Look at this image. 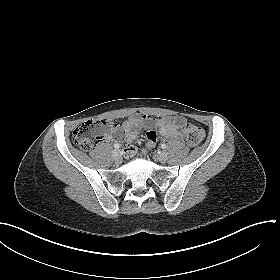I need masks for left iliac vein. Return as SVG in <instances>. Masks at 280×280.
I'll use <instances>...</instances> for the list:
<instances>
[{
  "instance_id": "obj_1",
  "label": "left iliac vein",
  "mask_w": 280,
  "mask_h": 280,
  "mask_svg": "<svg viewBox=\"0 0 280 280\" xmlns=\"http://www.w3.org/2000/svg\"><path fill=\"white\" fill-rule=\"evenodd\" d=\"M156 158L159 162L165 163L168 159L166 152H160L156 155Z\"/></svg>"
}]
</instances>
